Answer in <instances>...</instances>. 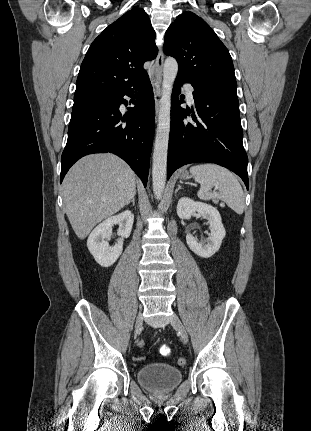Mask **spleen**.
<instances>
[{
    "label": "spleen",
    "instance_id": "obj_1",
    "mask_svg": "<svg viewBox=\"0 0 311 431\" xmlns=\"http://www.w3.org/2000/svg\"><path fill=\"white\" fill-rule=\"evenodd\" d=\"M189 172L195 182L201 186L197 192L200 200L218 198L236 214H243L245 208L244 192L237 178L229 170L215 166V164H199V166H192ZM211 188H217L218 192H211Z\"/></svg>",
    "mask_w": 311,
    "mask_h": 431
}]
</instances>
